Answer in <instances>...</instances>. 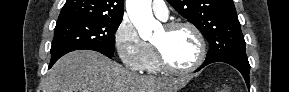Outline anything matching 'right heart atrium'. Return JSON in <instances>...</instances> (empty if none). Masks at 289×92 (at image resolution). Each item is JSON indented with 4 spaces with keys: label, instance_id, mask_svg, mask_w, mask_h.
I'll list each match as a JSON object with an SVG mask.
<instances>
[{
    "label": "right heart atrium",
    "instance_id": "d8ad5b80",
    "mask_svg": "<svg viewBox=\"0 0 289 92\" xmlns=\"http://www.w3.org/2000/svg\"><path fill=\"white\" fill-rule=\"evenodd\" d=\"M114 44L121 61L128 69H146L153 53L152 46L139 36L129 20L123 19L119 23L114 33Z\"/></svg>",
    "mask_w": 289,
    "mask_h": 92
}]
</instances>
